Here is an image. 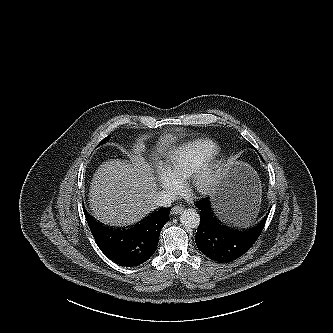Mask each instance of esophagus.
Masks as SVG:
<instances>
[{"mask_svg":"<svg viewBox=\"0 0 333 333\" xmlns=\"http://www.w3.org/2000/svg\"><path fill=\"white\" fill-rule=\"evenodd\" d=\"M182 211H183V207H181V206H174V207H172V209H171V214H172V215H178V214H180Z\"/></svg>","mask_w":333,"mask_h":333,"instance_id":"obj_1","label":"esophagus"}]
</instances>
